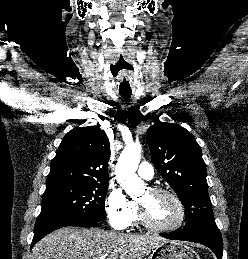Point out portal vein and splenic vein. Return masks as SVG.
Returning <instances> with one entry per match:
<instances>
[{
    "mask_svg": "<svg viewBox=\"0 0 248 259\" xmlns=\"http://www.w3.org/2000/svg\"><path fill=\"white\" fill-rule=\"evenodd\" d=\"M107 255H102L99 259H106Z\"/></svg>",
    "mask_w": 248,
    "mask_h": 259,
    "instance_id": "1",
    "label": "portal vein and splenic vein"
}]
</instances>
